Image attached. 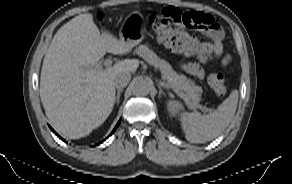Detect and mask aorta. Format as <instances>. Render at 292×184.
<instances>
[{"label": "aorta", "instance_id": "762f6f07", "mask_svg": "<svg viewBox=\"0 0 292 184\" xmlns=\"http://www.w3.org/2000/svg\"><path fill=\"white\" fill-rule=\"evenodd\" d=\"M131 89L136 96H146L150 92L151 83L144 78H136L132 82Z\"/></svg>", "mask_w": 292, "mask_h": 184}]
</instances>
